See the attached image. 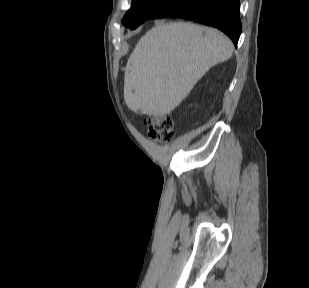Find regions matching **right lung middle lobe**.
<instances>
[{
  "instance_id": "1",
  "label": "right lung middle lobe",
  "mask_w": 309,
  "mask_h": 288,
  "mask_svg": "<svg viewBox=\"0 0 309 288\" xmlns=\"http://www.w3.org/2000/svg\"><path fill=\"white\" fill-rule=\"evenodd\" d=\"M171 1L172 0H133L132 7L124 16L122 23L124 26L134 29Z\"/></svg>"
}]
</instances>
